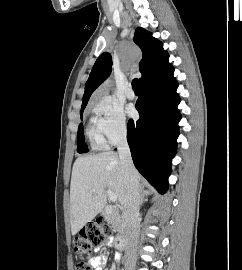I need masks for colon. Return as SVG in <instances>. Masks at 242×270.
Wrapping results in <instances>:
<instances>
[{
  "mask_svg": "<svg viewBox=\"0 0 242 270\" xmlns=\"http://www.w3.org/2000/svg\"><path fill=\"white\" fill-rule=\"evenodd\" d=\"M111 232L110 225L102 219L84 227L74 242V250L82 255L89 253L95 246L99 245ZM75 270H92V265L86 261H80L75 265Z\"/></svg>",
  "mask_w": 242,
  "mask_h": 270,
  "instance_id": "1",
  "label": "colon"
}]
</instances>
